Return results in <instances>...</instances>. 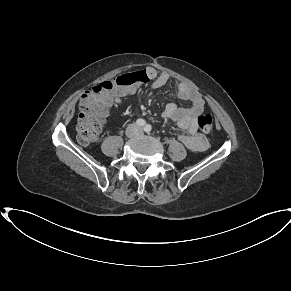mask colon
<instances>
[{
	"label": "colon",
	"mask_w": 291,
	"mask_h": 291,
	"mask_svg": "<svg viewBox=\"0 0 291 291\" xmlns=\"http://www.w3.org/2000/svg\"><path fill=\"white\" fill-rule=\"evenodd\" d=\"M140 80L139 72L118 76L112 80L96 84L85 93L80 101V112L77 121V139L87 145L95 142L101 132V124L108 114L109 103L105 94L114 87L129 86ZM200 130L210 133L213 129V119L210 114H202L197 119Z\"/></svg>",
	"instance_id": "5ec220e1"
}]
</instances>
